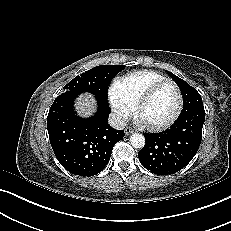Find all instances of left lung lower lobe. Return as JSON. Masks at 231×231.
<instances>
[{
	"label": "left lung lower lobe",
	"instance_id": "0a47b994",
	"mask_svg": "<svg viewBox=\"0 0 231 231\" xmlns=\"http://www.w3.org/2000/svg\"><path fill=\"white\" fill-rule=\"evenodd\" d=\"M204 108H195L181 116L173 133H145V146L139 151L140 163L157 175H171L183 169L195 156L202 140Z\"/></svg>",
	"mask_w": 231,
	"mask_h": 231
}]
</instances>
